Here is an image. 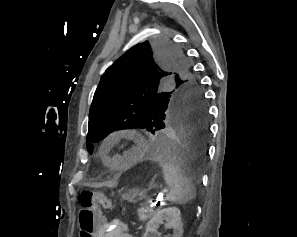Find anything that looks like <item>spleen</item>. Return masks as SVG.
I'll return each instance as SVG.
<instances>
[{
  "label": "spleen",
  "instance_id": "1",
  "mask_svg": "<svg viewBox=\"0 0 297 237\" xmlns=\"http://www.w3.org/2000/svg\"><path fill=\"white\" fill-rule=\"evenodd\" d=\"M162 167L164 179L170 192L166 199L171 203L184 205L193 200L196 196V189L191 179L187 177L180 167L172 160L161 158L159 161Z\"/></svg>",
  "mask_w": 297,
  "mask_h": 237
}]
</instances>
